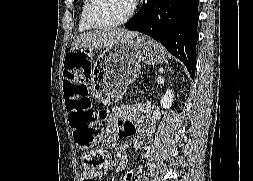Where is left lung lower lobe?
<instances>
[{
  "label": "left lung lower lobe",
  "mask_w": 253,
  "mask_h": 181,
  "mask_svg": "<svg viewBox=\"0 0 253 181\" xmlns=\"http://www.w3.org/2000/svg\"><path fill=\"white\" fill-rule=\"evenodd\" d=\"M199 0H144L124 27L147 34L180 59L195 76Z\"/></svg>",
  "instance_id": "1"
}]
</instances>
